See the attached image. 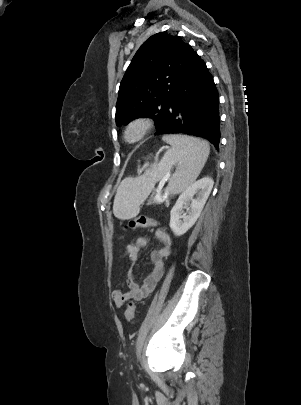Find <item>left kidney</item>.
<instances>
[{
    "mask_svg": "<svg viewBox=\"0 0 301 405\" xmlns=\"http://www.w3.org/2000/svg\"><path fill=\"white\" fill-rule=\"evenodd\" d=\"M210 177L202 178L192 183L179 196L170 212V228L176 236L185 234L197 221L200 213L213 188ZM196 195V198L193 197ZM191 201V203H190ZM186 208L187 215L182 217V210ZM183 218V220H181Z\"/></svg>",
    "mask_w": 301,
    "mask_h": 405,
    "instance_id": "1",
    "label": "left kidney"
}]
</instances>
